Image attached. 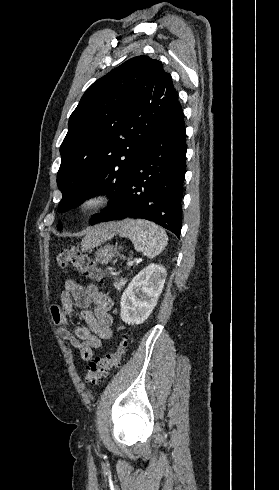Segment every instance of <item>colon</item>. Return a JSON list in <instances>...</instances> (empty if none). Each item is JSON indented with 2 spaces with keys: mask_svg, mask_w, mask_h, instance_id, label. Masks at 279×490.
<instances>
[{
  "mask_svg": "<svg viewBox=\"0 0 279 490\" xmlns=\"http://www.w3.org/2000/svg\"><path fill=\"white\" fill-rule=\"evenodd\" d=\"M56 263L60 267L71 266L79 271L82 276L93 281L101 280L104 275L98 264L75 245H70L60 251L56 256ZM129 344L130 339L124 337L118 341L112 353L104 357L92 358L87 363L84 371L85 383L96 384L101 376L106 375L111 369L117 367L126 354Z\"/></svg>",
  "mask_w": 279,
  "mask_h": 490,
  "instance_id": "1",
  "label": "colon"
}]
</instances>
